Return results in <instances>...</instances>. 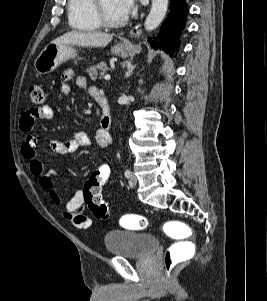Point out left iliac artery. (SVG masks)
I'll return each instance as SVG.
<instances>
[{
  "label": "left iliac artery",
  "instance_id": "obj_1",
  "mask_svg": "<svg viewBox=\"0 0 267 301\" xmlns=\"http://www.w3.org/2000/svg\"><path fill=\"white\" fill-rule=\"evenodd\" d=\"M130 171L127 169L126 171H125V176L127 177V178H129L130 177Z\"/></svg>",
  "mask_w": 267,
  "mask_h": 301
}]
</instances>
